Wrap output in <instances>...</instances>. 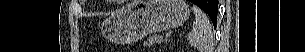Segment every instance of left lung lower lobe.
<instances>
[{"mask_svg":"<svg viewBox=\"0 0 305 52\" xmlns=\"http://www.w3.org/2000/svg\"><path fill=\"white\" fill-rule=\"evenodd\" d=\"M194 4L202 8L207 14L212 12H217L218 9V0H190ZM214 27H216V21H212Z\"/></svg>","mask_w":305,"mask_h":52,"instance_id":"left-lung-lower-lobe-1","label":"left lung lower lobe"}]
</instances>
